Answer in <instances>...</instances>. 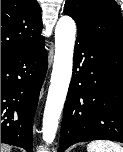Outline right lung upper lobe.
<instances>
[{
  "label": "right lung upper lobe",
  "mask_w": 123,
  "mask_h": 152,
  "mask_svg": "<svg viewBox=\"0 0 123 152\" xmlns=\"http://www.w3.org/2000/svg\"><path fill=\"white\" fill-rule=\"evenodd\" d=\"M37 0H1V54L24 49L42 38Z\"/></svg>",
  "instance_id": "obj_1"
}]
</instances>
